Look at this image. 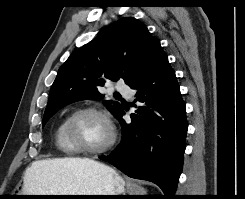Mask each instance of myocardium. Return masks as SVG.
<instances>
[{
	"instance_id": "myocardium-1",
	"label": "myocardium",
	"mask_w": 245,
	"mask_h": 199,
	"mask_svg": "<svg viewBox=\"0 0 245 199\" xmlns=\"http://www.w3.org/2000/svg\"><path fill=\"white\" fill-rule=\"evenodd\" d=\"M86 114H94V115L100 116L105 120V122L108 125L109 132H110L109 139L103 146L99 148L85 147L81 145L73 137L72 128H73V124L75 120L78 117L82 115H86ZM65 136L67 140L69 141L70 145L72 146V148L77 153H82V154H86L89 156H96V155H101V154L106 153L114 146L116 139H117V132H116V127L112 120V117L107 111L101 108H98V107H84V108L75 110L67 117L66 122H65Z\"/></svg>"
}]
</instances>
